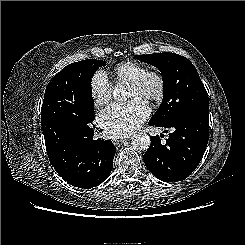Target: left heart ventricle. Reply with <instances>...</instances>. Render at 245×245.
I'll return each mask as SVG.
<instances>
[{"label": "left heart ventricle", "instance_id": "1", "mask_svg": "<svg viewBox=\"0 0 245 245\" xmlns=\"http://www.w3.org/2000/svg\"><path fill=\"white\" fill-rule=\"evenodd\" d=\"M150 88L153 87V83H151L149 85ZM127 97L128 98H133V97H141V94H140V91H138L137 89L131 87V86H128V92H127Z\"/></svg>", "mask_w": 245, "mask_h": 245}]
</instances>
